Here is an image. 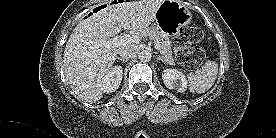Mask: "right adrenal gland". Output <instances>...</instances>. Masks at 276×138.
<instances>
[{"label":"right adrenal gland","mask_w":276,"mask_h":138,"mask_svg":"<svg viewBox=\"0 0 276 138\" xmlns=\"http://www.w3.org/2000/svg\"><path fill=\"white\" fill-rule=\"evenodd\" d=\"M116 59H118L119 61H122V62H127V60L119 58V57H117Z\"/></svg>","instance_id":"2a0ac1e0"}]
</instances>
